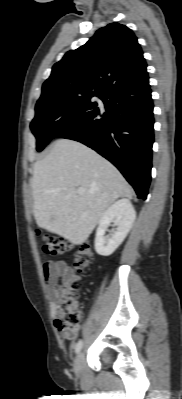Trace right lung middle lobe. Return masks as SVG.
<instances>
[{
    "mask_svg": "<svg viewBox=\"0 0 182 399\" xmlns=\"http://www.w3.org/2000/svg\"><path fill=\"white\" fill-rule=\"evenodd\" d=\"M103 95L85 94L56 97L38 102L35 118L30 128L37 139V150L41 151L51 139L59 134L79 127L99 111L93 97Z\"/></svg>",
    "mask_w": 182,
    "mask_h": 399,
    "instance_id": "right-lung-middle-lobe-1",
    "label": "right lung middle lobe"
}]
</instances>
